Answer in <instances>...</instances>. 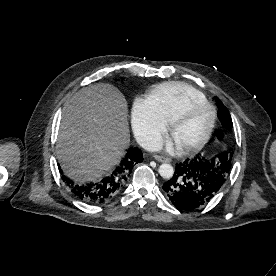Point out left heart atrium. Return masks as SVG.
<instances>
[{
  "label": "left heart atrium",
  "instance_id": "left-heart-atrium-1",
  "mask_svg": "<svg viewBox=\"0 0 276 276\" xmlns=\"http://www.w3.org/2000/svg\"><path fill=\"white\" fill-rule=\"evenodd\" d=\"M182 148H183V145L174 136H172V138L166 142V149L169 153H176L180 151Z\"/></svg>",
  "mask_w": 276,
  "mask_h": 276
}]
</instances>
